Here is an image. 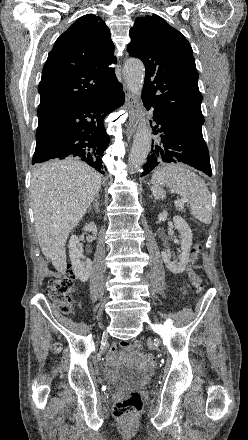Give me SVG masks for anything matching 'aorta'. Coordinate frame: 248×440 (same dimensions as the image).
Here are the masks:
<instances>
[{"label":"aorta","mask_w":248,"mask_h":440,"mask_svg":"<svg viewBox=\"0 0 248 440\" xmlns=\"http://www.w3.org/2000/svg\"><path fill=\"white\" fill-rule=\"evenodd\" d=\"M123 75L131 93L140 96L145 77L144 64L138 59L127 60L124 64ZM150 149L151 134L146 119L142 117L129 154V165L132 167L141 166L146 161Z\"/></svg>","instance_id":"762f6f07"}]
</instances>
